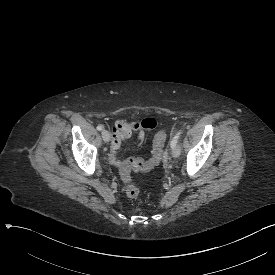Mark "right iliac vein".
<instances>
[{
    "mask_svg": "<svg viewBox=\"0 0 275 275\" xmlns=\"http://www.w3.org/2000/svg\"><path fill=\"white\" fill-rule=\"evenodd\" d=\"M102 138L104 142H109L110 140V133L107 130H102Z\"/></svg>",
    "mask_w": 275,
    "mask_h": 275,
    "instance_id": "obj_1",
    "label": "right iliac vein"
}]
</instances>
